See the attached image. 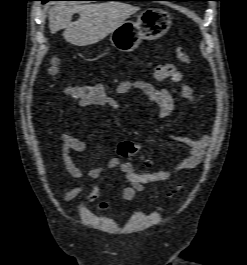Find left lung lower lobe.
I'll return each instance as SVG.
<instances>
[{
    "instance_id": "left-lung-lower-lobe-1",
    "label": "left lung lower lobe",
    "mask_w": 247,
    "mask_h": 265,
    "mask_svg": "<svg viewBox=\"0 0 247 265\" xmlns=\"http://www.w3.org/2000/svg\"><path fill=\"white\" fill-rule=\"evenodd\" d=\"M171 1H197V0H171Z\"/></svg>"
}]
</instances>
